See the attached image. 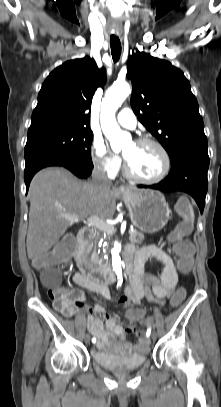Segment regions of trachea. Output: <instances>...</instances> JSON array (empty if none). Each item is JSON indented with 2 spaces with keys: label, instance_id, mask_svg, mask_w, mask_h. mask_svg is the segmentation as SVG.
I'll list each match as a JSON object with an SVG mask.
<instances>
[{
  "label": "trachea",
  "instance_id": "3493384b",
  "mask_svg": "<svg viewBox=\"0 0 221 407\" xmlns=\"http://www.w3.org/2000/svg\"><path fill=\"white\" fill-rule=\"evenodd\" d=\"M110 47L113 61L116 63L119 61L121 55V43L118 37L116 36L110 37Z\"/></svg>",
  "mask_w": 221,
  "mask_h": 407
}]
</instances>
